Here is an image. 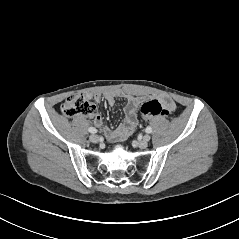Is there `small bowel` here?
Returning <instances> with one entry per match:
<instances>
[{
	"instance_id": "obj_1",
	"label": "small bowel",
	"mask_w": 239,
	"mask_h": 239,
	"mask_svg": "<svg viewBox=\"0 0 239 239\" xmlns=\"http://www.w3.org/2000/svg\"><path fill=\"white\" fill-rule=\"evenodd\" d=\"M89 98H93L95 101L99 102L104 99L109 106H113L117 98H121L125 101L124 113L125 118L123 123H121L115 129L104 128V135L108 141L119 142L128 138L137 127V108L140 103L144 100L142 97L133 96L123 92H106L104 94L95 93L93 95H88ZM164 107L168 112L174 111L176 109L175 102L169 97L161 98ZM94 124L97 127L103 125V118L96 114L94 116Z\"/></svg>"
}]
</instances>
